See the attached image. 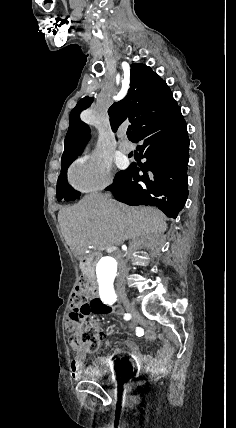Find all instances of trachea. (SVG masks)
I'll return each instance as SVG.
<instances>
[{
	"label": "trachea",
	"instance_id": "3493384b",
	"mask_svg": "<svg viewBox=\"0 0 236 428\" xmlns=\"http://www.w3.org/2000/svg\"><path fill=\"white\" fill-rule=\"evenodd\" d=\"M131 130H132V127H128V129H127V135L130 134Z\"/></svg>",
	"mask_w": 236,
	"mask_h": 428
}]
</instances>
